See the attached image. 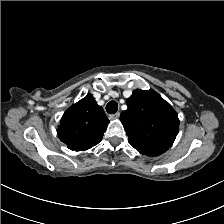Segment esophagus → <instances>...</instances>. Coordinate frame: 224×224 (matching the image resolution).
Returning <instances> with one entry per match:
<instances>
[{"mask_svg":"<svg viewBox=\"0 0 224 224\" xmlns=\"http://www.w3.org/2000/svg\"><path fill=\"white\" fill-rule=\"evenodd\" d=\"M119 116H120V113H119V112H116V113L110 115L109 118H110L111 120H115V119H118Z\"/></svg>","mask_w":224,"mask_h":224,"instance_id":"obj_1","label":"esophagus"}]
</instances>
